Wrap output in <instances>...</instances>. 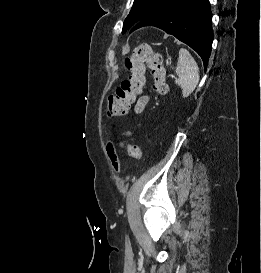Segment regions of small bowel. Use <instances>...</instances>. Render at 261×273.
Returning <instances> with one entry per match:
<instances>
[{"label":"small bowel","instance_id":"1","mask_svg":"<svg viewBox=\"0 0 261 273\" xmlns=\"http://www.w3.org/2000/svg\"><path fill=\"white\" fill-rule=\"evenodd\" d=\"M149 99L150 98L148 95L141 96L136 102L135 112L141 113L145 109L146 105L148 104ZM133 134H134L133 131H125V132L121 133L120 136L123 138H128V137H131ZM106 150H107V154L109 156V159L111 161L114 171L119 172L120 171V162H119V158H118L115 144L112 141H110L106 146Z\"/></svg>","mask_w":261,"mask_h":273}]
</instances>
